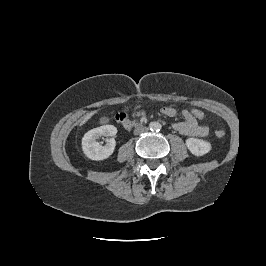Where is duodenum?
Wrapping results in <instances>:
<instances>
[{
    "label": "duodenum",
    "mask_w": 266,
    "mask_h": 266,
    "mask_svg": "<svg viewBox=\"0 0 266 266\" xmlns=\"http://www.w3.org/2000/svg\"><path fill=\"white\" fill-rule=\"evenodd\" d=\"M119 122L122 124V127L127 131H130L135 127L139 126L136 121L128 120L126 118H120Z\"/></svg>",
    "instance_id": "obj_1"
}]
</instances>
